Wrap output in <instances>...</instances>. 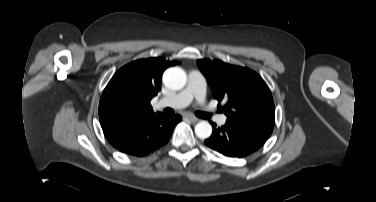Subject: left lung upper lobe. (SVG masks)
I'll return each instance as SVG.
<instances>
[{
  "instance_id": "left-lung-upper-lobe-1",
  "label": "left lung upper lobe",
  "mask_w": 376,
  "mask_h": 202,
  "mask_svg": "<svg viewBox=\"0 0 376 202\" xmlns=\"http://www.w3.org/2000/svg\"><path fill=\"white\" fill-rule=\"evenodd\" d=\"M197 65L206 76L213 97L219 104L224 103L221 111L228 121L273 132L274 101L270 89L257 73L220 60H197Z\"/></svg>"
}]
</instances>
